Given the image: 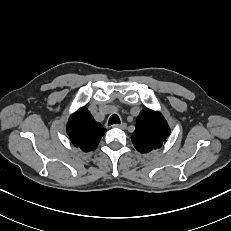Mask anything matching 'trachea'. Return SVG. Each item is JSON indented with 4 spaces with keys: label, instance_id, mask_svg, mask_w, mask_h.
Listing matches in <instances>:
<instances>
[{
    "label": "trachea",
    "instance_id": "obj_1",
    "mask_svg": "<svg viewBox=\"0 0 231 231\" xmlns=\"http://www.w3.org/2000/svg\"><path fill=\"white\" fill-rule=\"evenodd\" d=\"M121 121L119 119V117L116 114H113L108 121V126H111L113 124H120Z\"/></svg>",
    "mask_w": 231,
    "mask_h": 231
}]
</instances>
